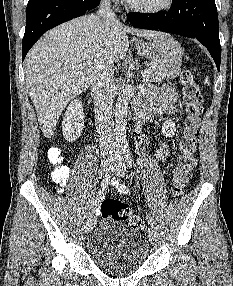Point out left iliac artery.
<instances>
[{
    "label": "left iliac artery",
    "instance_id": "44dca946",
    "mask_svg": "<svg viewBox=\"0 0 233 286\" xmlns=\"http://www.w3.org/2000/svg\"><path fill=\"white\" fill-rule=\"evenodd\" d=\"M122 151H123L124 158H125V162L127 163V166H128V167H131V166H132V158H131L130 150H129L128 146H127V145H124V146L122 147ZM147 219H148V222H149L150 226H151L152 228H154L155 230H157V226H156V223H155L153 217L148 216Z\"/></svg>",
    "mask_w": 233,
    "mask_h": 286
}]
</instances>
